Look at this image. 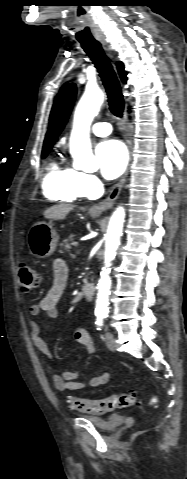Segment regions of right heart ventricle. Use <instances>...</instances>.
<instances>
[{
	"label": "right heart ventricle",
	"instance_id": "right-heart-ventricle-1",
	"mask_svg": "<svg viewBox=\"0 0 187 479\" xmlns=\"http://www.w3.org/2000/svg\"><path fill=\"white\" fill-rule=\"evenodd\" d=\"M77 173L72 167L62 165L57 158L51 160L41 184L44 196L58 202H73L83 196L77 184Z\"/></svg>",
	"mask_w": 187,
	"mask_h": 479
}]
</instances>
